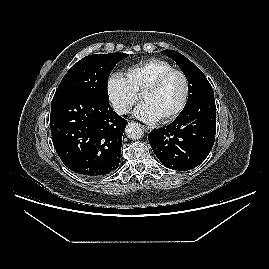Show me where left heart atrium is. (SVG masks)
Wrapping results in <instances>:
<instances>
[{
  "instance_id": "left-heart-atrium-1",
  "label": "left heart atrium",
  "mask_w": 269,
  "mask_h": 269,
  "mask_svg": "<svg viewBox=\"0 0 269 269\" xmlns=\"http://www.w3.org/2000/svg\"><path fill=\"white\" fill-rule=\"evenodd\" d=\"M134 116L145 122H156L159 120L157 114L147 102L138 105L134 112Z\"/></svg>"
}]
</instances>
